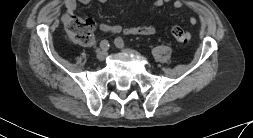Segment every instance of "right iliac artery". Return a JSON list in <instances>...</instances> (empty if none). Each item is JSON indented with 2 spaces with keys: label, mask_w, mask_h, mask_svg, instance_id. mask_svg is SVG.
<instances>
[{
  "label": "right iliac artery",
  "mask_w": 253,
  "mask_h": 138,
  "mask_svg": "<svg viewBox=\"0 0 253 138\" xmlns=\"http://www.w3.org/2000/svg\"><path fill=\"white\" fill-rule=\"evenodd\" d=\"M109 42L107 41V40H102L101 42H100V48L102 49V50H107L108 48H109Z\"/></svg>",
  "instance_id": "82829eb1"
}]
</instances>
